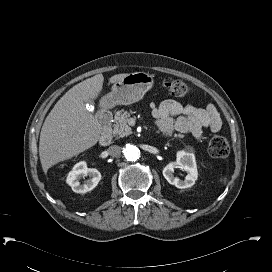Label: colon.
<instances>
[{"instance_id":"obj_1","label":"colon","mask_w":272,"mask_h":272,"mask_svg":"<svg viewBox=\"0 0 272 272\" xmlns=\"http://www.w3.org/2000/svg\"><path fill=\"white\" fill-rule=\"evenodd\" d=\"M162 86L166 95L173 98H183L190 93L188 84L176 81L171 78H165L162 81ZM209 152L217 158H224L229 154V144L227 140L219 135H214L209 142Z\"/></svg>"}]
</instances>
